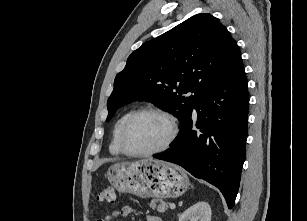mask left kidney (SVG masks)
<instances>
[{
    "label": "left kidney",
    "instance_id": "obj_1",
    "mask_svg": "<svg viewBox=\"0 0 307 221\" xmlns=\"http://www.w3.org/2000/svg\"><path fill=\"white\" fill-rule=\"evenodd\" d=\"M211 208L207 202L200 201L185 210L179 221H211Z\"/></svg>",
    "mask_w": 307,
    "mask_h": 221
}]
</instances>
